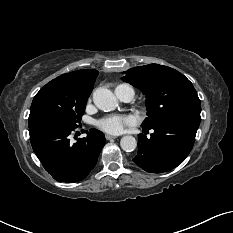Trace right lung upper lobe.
Here are the masks:
<instances>
[{"label":"right lung upper lobe","instance_id":"1","mask_svg":"<svg viewBox=\"0 0 233 233\" xmlns=\"http://www.w3.org/2000/svg\"><path fill=\"white\" fill-rule=\"evenodd\" d=\"M98 74L97 70H79L63 74L55 79L70 88L85 90L91 93L93 84L95 83V78Z\"/></svg>","mask_w":233,"mask_h":233}]
</instances>
